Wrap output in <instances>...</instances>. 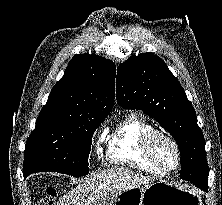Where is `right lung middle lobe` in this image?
<instances>
[{
	"mask_svg": "<svg viewBox=\"0 0 222 205\" xmlns=\"http://www.w3.org/2000/svg\"><path fill=\"white\" fill-rule=\"evenodd\" d=\"M102 119H37L24 152L23 171H54L72 176L89 172L92 136Z\"/></svg>",
	"mask_w": 222,
	"mask_h": 205,
	"instance_id": "obj_1",
	"label": "right lung middle lobe"
}]
</instances>
